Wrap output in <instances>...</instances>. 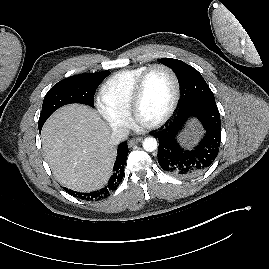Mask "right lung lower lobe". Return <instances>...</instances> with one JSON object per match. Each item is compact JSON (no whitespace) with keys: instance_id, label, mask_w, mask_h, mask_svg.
<instances>
[{"instance_id":"right-lung-lower-lobe-1","label":"right lung lower lobe","mask_w":269,"mask_h":269,"mask_svg":"<svg viewBox=\"0 0 269 269\" xmlns=\"http://www.w3.org/2000/svg\"><path fill=\"white\" fill-rule=\"evenodd\" d=\"M39 131H41L40 128ZM127 155H128L127 143L122 142L118 146V155L113 167L112 176L110 177L108 184L104 188L90 193L76 192L73 190H68L67 188H64V190L69 194L73 195L74 197H78L84 200H99L102 198H107L113 191L117 189L119 183L123 179L124 166L126 164Z\"/></svg>"}]
</instances>
